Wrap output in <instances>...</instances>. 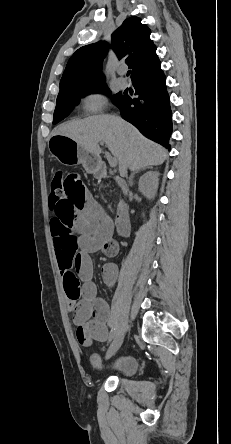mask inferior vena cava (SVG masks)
Instances as JSON below:
<instances>
[{
    "label": "inferior vena cava",
    "mask_w": 231,
    "mask_h": 444,
    "mask_svg": "<svg viewBox=\"0 0 231 444\" xmlns=\"http://www.w3.org/2000/svg\"><path fill=\"white\" fill-rule=\"evenodd\" d=\"M121 174H125V170H122V171H121Z\"/></svg>",
    "instance_id": "1"
}]
</instances>
